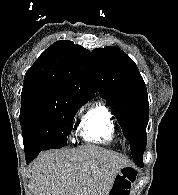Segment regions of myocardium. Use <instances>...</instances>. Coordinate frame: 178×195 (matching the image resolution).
Wrapping results in <instances>:
<instances>
[{"instance_id":"obj_1","label":"myocardium","mask_w":178,"mask_h":195,"mask_svg":"<svg viewBox=\"0 0 178 195\" xmlns=\"http://www.w3.org/2000/svg\"><path fill=\"white\" fill-rule=\"evenodd\" d=\"M124 145H127L126 141H123Z\"/></svg>"}]
</instances>
